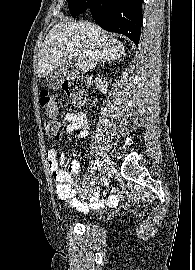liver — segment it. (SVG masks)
<instances>
[{
  "label": "liver",
  "mask_w": 195,
  "mask_h": 270,
  "mask_svg": "<svg viewBox=\"0 0 195 270\" xmlns=\"http://www.w3.org/2000/svg\"><path fill=\"white\" fill-rule=\"evenodd\" d=\"M75 50L76 72H88L97 62H111L125 53L124 45L99 26L83 21L57 23L46 36L40 50L37 74L43 78L66 62L70 50Z\"/></svg>",
  "instance_id": "1"
}]
</instances>
